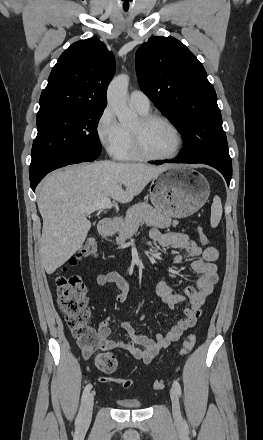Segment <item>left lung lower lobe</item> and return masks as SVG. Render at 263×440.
Returning <instances> with one entry per match:
<instances>
[{
  "instance_id": "obj_1",
  "label": "left lung lower lobe",
  "mask_w": 263,
  "mask_h": 440,
  "mask_svg": "<svg viewBox=\"0 0 263 440\" xmlns=\"http://www.w3.org/2000/svg\"><path fill=\"white\" fill-rule=\"evenodd\" d=\"M190 163L188 162L186 159L182 158L179 156V158L177 159H173V160H167V161H155V162H150L152 164H162V163ZM196 163H203L209 166H212L214 168H216L218 171H220L222 173V175L225 177L226 182L229 186L230 184V180L232 177V161H222V160H208V161H200V162H196Z\"/></svg>"
}]
</instances>
